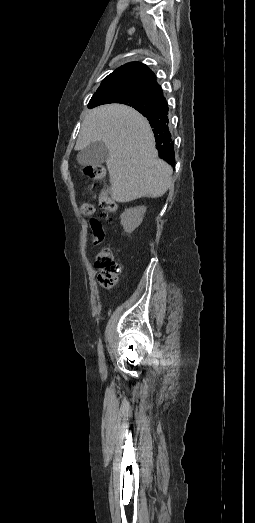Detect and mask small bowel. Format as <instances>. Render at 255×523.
Masks as SVG:
<instances>
[{"instance_id": "1", "label": "small bowel", "mask_w": 255, "mask_h": 523, "mask_svg": "<svg viewBox=\"0 0 255 523\" xmlns=\"http://www.w3.org/2000/svg\"><path fill=\"white\" fill-rule=\"evenodd\" d=\"M90 227H91V230H92V242L94 245H99L103 242L104 240V230H103V227L102 225L100 224V222H98L97 220L95 219H91L90 220Z\"/></svg>"}]
</instances>
